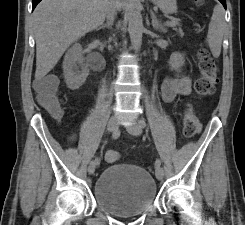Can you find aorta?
<instances>
[{"label":"aorta","instance_id":"aorta-1","mask_svg":"<svg viewBox=\"0 0 245 225\" xmlns=\"http://www.w3.org/2000/svg\"><path fill=\"white\" fill-rule=\"evenodd\" d=\"M143 30L144 26L141 12L136 7H133L129 11L128 15V32L130 35L132 48L136 52L141 48Z\"/></svg>","mask_w":245,"mask_h":225}]
</instances>
